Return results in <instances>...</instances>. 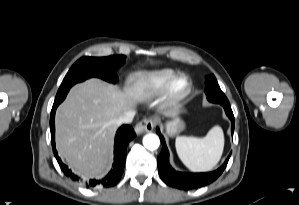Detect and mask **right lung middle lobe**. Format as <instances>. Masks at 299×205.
I'll return each mask as SVG.
<instances>
[{"mask_svg": "<svg viewBox=\"0 0 299 205\" xmlns=\"http://www.w3.org/2000/svg\"><path fill=\"white\" fill-rule=\"evenodd\" d=\"M124 55L110 57H82L68 71L55 98L54 103L62 102L69 89L76 83L90 77H99L108 82L117 81L116 70L125 61Z\"/></svg>", "mask_w": 299, "mask_h": 205, "instance_id": "right-lung-middle-lobe-1", "label": "right lung middle lobe"}]
</instances>
